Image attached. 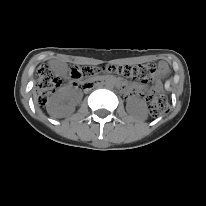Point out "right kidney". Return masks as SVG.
Masks as SVG:
<instances>
[{
    "mask_svg": "<svg viewBox=\"0 0 206 206\" xmlns=\"http://www.w3.org/2000/svg\"><path fill=\"white\" fill-rule=\"evenodd\" d=\"M80 99L78 92L64 89L49 100L47 112L54 117H65L74 112V106Z\"/></svg>",
    "mask_w": 206,
    "mask_h": 206,
    "instance_id": "ca27d5eb",
    "label": "right kidney"
}]
</instances>
